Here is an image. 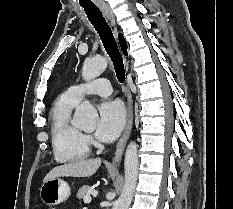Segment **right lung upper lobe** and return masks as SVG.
Segmentation results:
<instances>
[{
	"label": "right lung upper lobe",
	"mask_w": 233,
	"mask_h": 209,
	"mask_svg": "<svg viewBox=\"0 0 233 209\" xmlns=\"http://www.w3.org/2000/svg\"><path fill=\"white\" fill-rule=\"evenodd\" d=\"M119 42L123 53L127 55V43L122 34H119Z\"/></svg>",
	"instance_id": "1"
}]
</instances>
